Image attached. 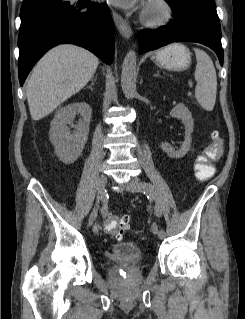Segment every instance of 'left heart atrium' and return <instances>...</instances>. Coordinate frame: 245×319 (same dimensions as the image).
Instances as JSON below:
<instances>
[{"label":"left heart atrium","mask_w":245,"mask_h":319,"mask_svg":"<svg viewBox=\"0 0 245 319\" xmlns=\"http://www.w3.org/2000/svg\"><path fill=\"white\" fill-rule=\"evenodd\" d=\"M112 4L123 8H137L141 5L140 0H109Z\"/></svg>","instance_id":"39dd6f15"}]
</instances>
